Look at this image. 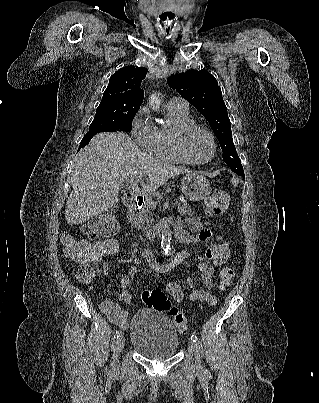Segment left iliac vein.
<instances>
[{"label": "left iliac vein", "instance_id": "4c4485c4", "mask_svg": "<svg viewBox=\"0 0 319 403\" xmlns=\"http://www.w3.org/2000/svg\"><path fill=\"white\" fill-rule=\"evenodd\" d=\"M189 349L194 354L196 368L200 370L201 369L200 349L198 344L192 339L189 341Z\"/></svg>", "mask_w": 319, "mask_h": 403}]
</instances>
